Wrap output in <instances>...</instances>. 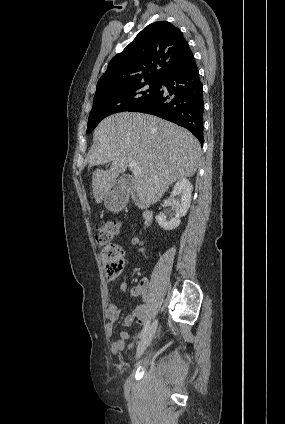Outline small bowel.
I'll use <instances>...</instances> for the list:
<instances>
[{"instance_id":"obj_1","label":"small bowel","mask_w":285,"mask_h":424,"mask_svg":"<svg viewBox=\"0 0 285 424\" xmlns=\"http://www.w3.org/2000/svg\"><path fill=\"white\" fill-rule=\"evenodd\" d=\"M148 288V279L142 278L139 283L130 290V296L133 298H145ZM119 289L123 292L128 290L127 274L124 276L123 280L120 282ZM147 306L146 304H141L133 307L126 318L123 321V326H131L134 322H137L138 325L142 326L145 324ZM121 316V308L112 303L106 311V320L107 324L105 327L106 335L109 339H112L114 333V324ZM130 338V334L127 331H122L120 333L119 339L112 341L111 351L113 354H119L125 351L128 348L132 347V343L126 344V340Z\"/></svg>"}]
</instances>
